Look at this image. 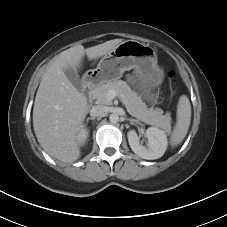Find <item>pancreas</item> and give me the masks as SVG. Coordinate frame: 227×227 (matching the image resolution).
Masks as SVG:
<instances>
[{"instance_id":"cf45deb5","label":"pancreas","mask_w":227,"mask_h":227,"mask_svg":"<svg viewBox=\"0 0 227 227\" xmlns=\"http://www.w3.org/2000/svg\"><path fill=\"white\" fill-rule=\"evenodd\" d=\"M110 89L123 95L128 113L149 125L160 127L165 131L171 130V117L169 114L163 115L160 108H147L140 96L134 92L130 86L122 80L108 81L102 83L92 90V96L98 104L111 105L112 100L108 99L107 93Z\"/></svg>"}]
</instances>
